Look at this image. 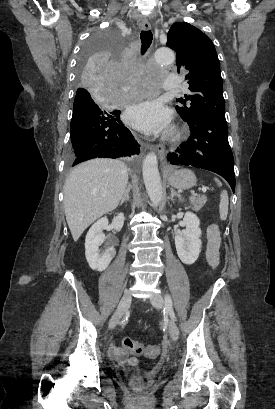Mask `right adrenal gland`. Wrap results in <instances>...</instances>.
Instances as JSON below:
<instances>
[{"instance_id":"2a0ac1e0","label":"right adrenal gland","mask_w":275,"mask_h":409,"mask_svg":"<svg viewBox=\"0 0 275 409\" xmlns=\"http://www.w3.org/2000/svg\"><path fill=\"white\" fill-rule=\"evenodd\" d=\"M131 190V184L130 182H128L127 186H126V190L121 198V202H119V205H123V202H126V200H129L130 196H129V192Z\"/></svg>"}]
</instances>
